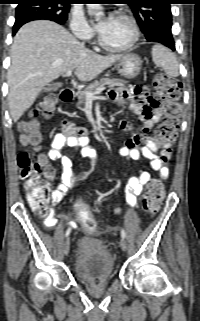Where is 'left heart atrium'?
I'll list each match as a JSON object with an SVG mask.
<instances>
[{"label":"left heart atrium","instance_id":"left-heart-atrium-1","mask_svg":"<svg viewBox=\"0 0 200 321\" xmlns=\"http://www.w3.org/2000/svg\"><path fill=\"white\" fill-rule=\"evenodd\" d=\"M113 16L112 15H108L106 16L104 19H102L98 24H97V29L99 32L104 31L108 25L110 24V22L112 21Z\"/></svg>","mask_w":200,"mask_h":321}]
</instances>
